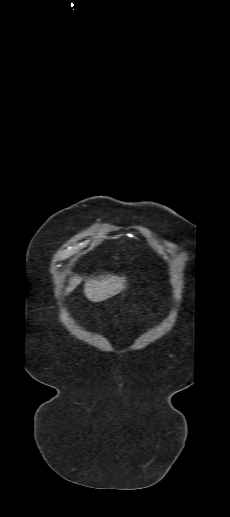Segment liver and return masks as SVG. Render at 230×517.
Instances as JSON below:
<instances>
[{"label":"liver","mask_w":230,"mask_h":517,"mask_svg":"<svg viewBox=\"0 0 230 517\" xmlns=\"http://www.w3.org/2000/svg\"><path fill=\"white\" fill-rule=\"evenodd\" d=\"M82 280L83 278L77 275L71 277L67 292L69 293L75 289ZM125 287L126 277L124 276L99 275L85 280L84 293L90 301L100 302L119 294Z\"/></svg>","instance_id":"6515ba94"}]
</instances>
